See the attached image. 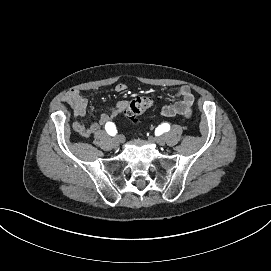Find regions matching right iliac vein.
Returning a JSON list of instances; mask_svg holds the SVG:
<instances>
[{
  "label": "right iliac vein",
  "mask_w": 271,
  "mask_h": 271,
  "mask_svg": "<svg viewBox=\"0 0 271 271\" xmlns=\"http://www.w3.org/2000/svg\"><path fill=\"white\" fill-rule=\"evenodd\" d=\"M113 142L115 146H118L121 143V136L114 138Z\"/></svg>",
  "instance_id": "right-iliac-vein-1"
}]
</instances>
